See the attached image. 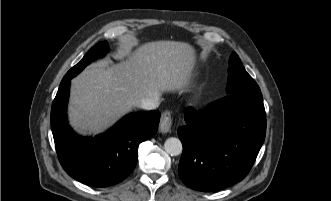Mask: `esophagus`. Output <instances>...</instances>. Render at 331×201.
<instances>
[{
    "mask_svg": "<svg viewBox=\"0 0 331 201\" xmlns=\"http://www.w3.org/2000/svg\"><path fill=\"white\" fill-rule=\"evenodd\" d=\"M171 125H172V116L170 111L163 112L160 120L159 131L161 133H167L170 131Z\"/></svg>",
    "mask_w": 331,
    "mask_h": 201,
    "instance_id": "esophagus-1",
    "label": "esophagus"
}]
</instances>
